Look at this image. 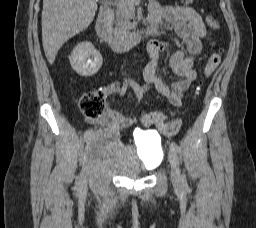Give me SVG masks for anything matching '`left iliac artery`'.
Segmentation results:
<instances>
[{
    "instance_id": "left-iliac-artery-1",
    "label": "left iliac artery",
    "mask_w": 256,
    "mask_h": 228,
    "mask_svg": "<svg viewBox=\"0 0 256 228\" xmlns=\"http://www.w3.org/2000/svg\"><path fill=\"white\" fill-rule=\"evenodd\" d=\"M170 147H171L174 151H176L177 153H180V148H179V146H178L175 142H171ZM182 182H183V185H184V186H187V180H186V177H185L184 174H183V176H182Z\"/></svg>"
}]
</instances>
